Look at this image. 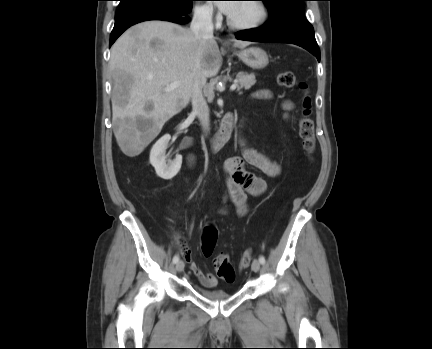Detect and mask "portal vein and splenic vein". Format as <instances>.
Here are the masks:
<instances>
[{"label": "portal vein and splenic vein", "instance_id": "18ae733b", "mask_svg": "<svg viewBox=\"0 0 432 349\" xmlns=\"http://www.w3.org/2000/svg\"><path fill=\"white\" fill-rule=\"evenodd\" d=\"M178 86H179V82H174V83L170 84V85L167 87V90L175 89V88L178 87ZM236 88H237V84H236V83H234V84H232V85L230 86V90H231V91H234Z\"/></svg>", "mask_w": 432, "mask_h": 349}]
</instances>
